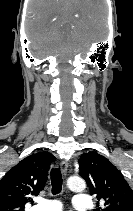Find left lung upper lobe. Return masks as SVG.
Returning <instances> with one entry per match:
<instances>
[{"mask_svg":"<svg viewBox=\"0 0 133 211\" xmlns=\"http://www.w3.org/2000/svg\"><path fill=\"white\" fill-rule=\"evenodd\" d=\"M80 176L90 194L102 204L97 211H133V190L121 172L104 156L96 152L83 153L79 159Z\"/></svg>","mask_w":133,"mask_h":211,"instance_id":"5c2ea615","label":"left lung upper lobe"}]
</instances>
